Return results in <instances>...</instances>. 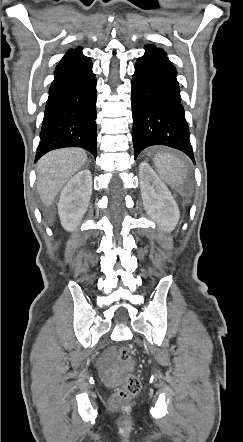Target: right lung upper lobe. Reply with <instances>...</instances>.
Here are the masks:
<instances>
[{
  "label": "right lung upper lobe",
  "instance_id": "cb5924a9",
  "mask_svg": "<svg viewBox=\"0 0 243 442\" xmlns=\"http://www.w3.org/2000/svg\"><path fill=\"white\" fill-rule=\"evenodd\" d=\"M79 50H81L80 47H78V48H76V49H73V50H70L68 53L76 52V51H79Z\"/></svg>",
  "mask_w": 243,
  "mask_h": 442
}]
</instances>
